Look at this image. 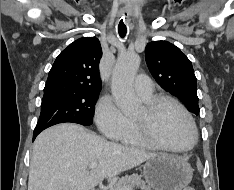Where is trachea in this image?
<instances>
[{"mask_svg": "<svg viewBox=\"0 0 234 190\" xmlns=\"http://www.w3.org/2000/svg\"><path fill=\"white\" fill-rule=\"evenodd\" d=\"M118 33L120 35L121 38H124L126 33H127V28L126 26L124 25V23H119L118 25Z\"/></svg>", "mask_w": 234, "mask_h": 190, "instance_id": "obj_1", "label": "trachea"}]
</instances>
